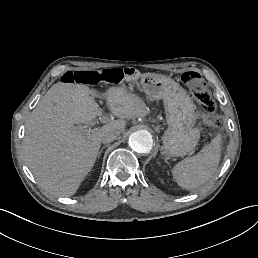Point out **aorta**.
I'll return each mask as SVG.
<instances>
[{
  "mask_svg": "<svg viewBox=\"0 0 258 258\" xmlns=\"http://www.w3.org/2000/svg\"><path fill=\"white\" fill-rule=\"evenodd\" d=\"M129 146L137 153H149L153 147L152 135L147 130H138L130 135Z\"/></svg>",
  "mask_w": 258,
  "mask_h": 258,
  "instance_id": "obj_1",
  "label": "aorta"
}]
</instances>
